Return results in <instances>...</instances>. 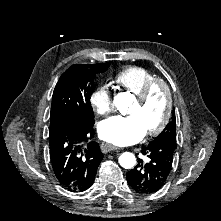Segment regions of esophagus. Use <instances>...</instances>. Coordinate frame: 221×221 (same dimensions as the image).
I'll return each mask as SVG.
<instances>
[{
  "mask_svg": "<svg viewBox=\"0 0 221 221\" xmlns=\"http://www.w3.org/2000/svg\"><path fill=\"white\" fill-rule=\"evenodd\" d=\"M101 150H102L103 153H105V152H110V151H113V150L119 151L120 148L116 147V146H114L112 144L103 143L101 145Z\"/></svg>",
  "mask_w": 221,
  "mask_h": 221,
  "instance_id": "1",
  "label": "esophagus"
}]
</instances>
